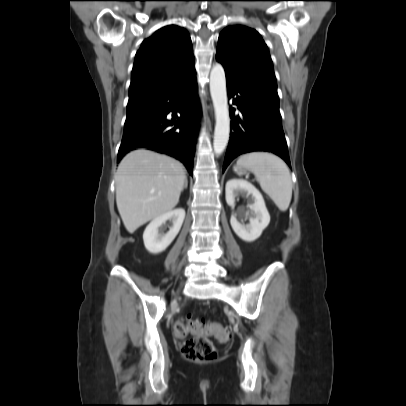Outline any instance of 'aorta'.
Masks as SVG:
<instances>
[{
	"mask_svg": "<svg viewBox=\"0 0 406 406\" xmlns=\"http://www.w3.org/2000/svg\"><path fill=\"white\" fill-rule=\"evenodd\" d=\"M210 93L216 119L213 148L215 154L220 155L225 150L229 141L230 118L225 71L219 63L213 65L210 72Z\"/></svg>",
	"mask_w": 406,
	"mask_h": 406,
	"instance_id": "obj_1",
	"label": "aorta"
}]
</instances>
